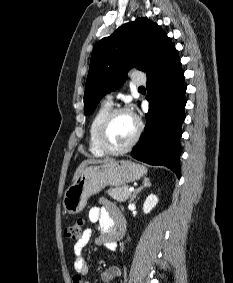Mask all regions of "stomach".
<instances>
[{"label": "stomach", "mask_w": 233, "mask_h": 283, "mask_svg": "<svg viewBox=\"0 0 233 283\" xmlns=\"http://www.w3.org/2000/svg\"><path fill=\"white\" fill-rule=\"evenodd\" d=\"M146 173L145 166L130 160L86 166L64 193L63 209L68 214H78L85 208L88 198L106 186L120 187L139 180Z\"/></svg>", "instance_id": "0dacf381"}]
</instances>
